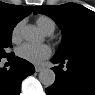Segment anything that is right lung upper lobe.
I'll return each mask as SVG.
<instances>
[{
	"label": "right lung upper lobe",
	"instance_id": "right-lung-upper-lobe-1",
	"mask_svg": "<svg viewBox=\"0 0 95 95\" xmlns=\"http://www.w3.org/2000/svg\"><path fill=\"white\" fill-rule=\"evenodd\" d=\"M33 7L0 3V22L17 24L32 12Z\"/></svg>",
	"mask_w": 95,
	"mask_h": 95
}]
</instances>
